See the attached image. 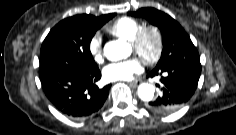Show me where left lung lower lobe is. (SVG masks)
<instances>
[{
  "mask_svg": "<svg viewBox=\"0 0 236 135\" xmlns=\"http://www.w3.org/2000/svg\"><path fill=\"white\" fill-rule=\"evenodd\" d=\"M161 77L160 96L148 103L149 109L160 113H172L185 105L197 89L201 74V64L198 52L192 54L182 63H175L152 70L147 77Z\"/></svg>",
  "mask_w": 236,
  "mask_h": 135,
  "instance_id": "0a47b994",
  "label": "left lung lower lobe"
}]
</instances>
